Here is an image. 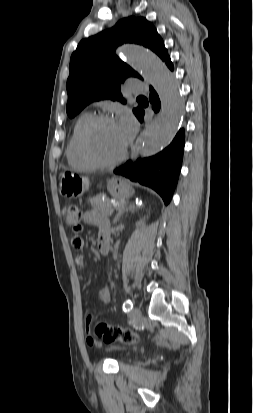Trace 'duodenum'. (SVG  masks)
<instances>
[{"instance_id": "obj_1", "label": "duodenum", "mask_w": 253, "mask_h": 413, "mask_svg": "<svg viewBox=\"0 0 253 413\" xmlns=\"http://www.w3.org/2000/svg\"><path fill=\"white\" fill-rule=\"evenodd\" d=\"M97 248L102 255H106L108 253L110 248L109 232H103L99 235Z\"/></svg>"}]
</instances>
